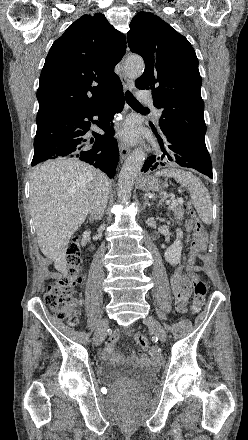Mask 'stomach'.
<instances>
[{
    "label": "stomach",
    "instance_id": "stomach-1",
    "mask_svg": "<svg viewBox=\"0 0 248 440\" xmlns=\"http://www.w3.org/2000/svg\"><path fill=\"white\" fill-rule=\"evenodd\" d=\"M139 187L145 192H152L162 190L165 185H163L158 179L154 177H146L141 179V181L139 182Z\"/></svg>",
    "mask_w": 248,
    "mask_h": 440
}]
</instances>
